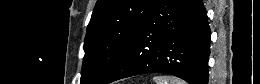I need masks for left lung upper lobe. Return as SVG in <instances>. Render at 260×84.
<instances>
[{"label": "left lung upper lobe", "mask_w": 260, "mask_h": 84, "mask_svg": "<svg viewBox=\"0 0 260 84\" xmlns=\"http://www.w3.org/2000/svg\"><path fill=\"white\" fill-rule=\"evenodd\" d=\"M157 0H98L87 27L81 84H102Z\"/></svg>", "instance_id": "1"}]
</instances>
